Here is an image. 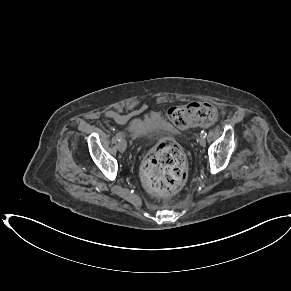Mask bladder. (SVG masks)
I'll use <instances>...</instances> for the list:
<instances>
[{
    "label": "bladder",
    "instance_id": "obj_1",
    "mask_svg": "<svg viewBox=\"0 0 291 291\" xmlns=\"http://www.w3.org/2000/svg\"><path fill=\"white\" fill-rule=\"evenodd\" d=\"M157 122L158 120L152 117L131 119L127 124V131L130 136L142 138L153 132L154 127L156 128L157 126Z\"/></svg>",
    "mask_w": 291,
    "mask_h": 291
}]
</instances>
